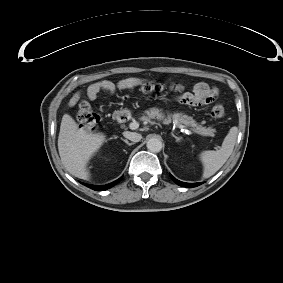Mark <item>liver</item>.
I'll use <instances>...</instances> for the list:
<instances>
[{"mask_svg":"<svg viewBox=\"0 0 283 283\" xmlns=\"http://www.w3.org/2000/svg\"><path fill=\"white\" fill-rule=\"evenodd\" d=\"M101 144V138L82 134L70 115L65 114L62 117L58 151L62 165L72 176L80 179L89 178V172L86 169L87 162Z\"/></svg>","mask_w":283,"mask_h":283,"instance_id":"6515ba94","label":"liver"}]
</instances>
